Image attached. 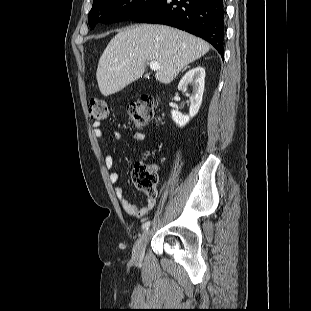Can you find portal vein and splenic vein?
I'll list each match as a JSON object with an SVG mask.
<instances>
[{"label": "portal vein and splenic vein", "mask_w": 311, "mask_h": 311, "mask_svg": "<svg viewBox=\"0 0 311 311\" xmlns=\"http://www.w3.org/2000/svg\"><path fill=\"white\" fill-rule=\"evenodd\" d=\"M160 68H161V66L157 62H153V61L150 62V69L151 70L157 71Z\"/></svg>", "instance_id": "18ae733b"}]
</instances>
